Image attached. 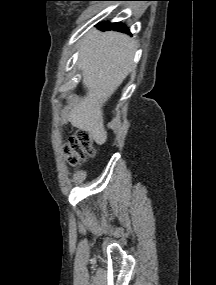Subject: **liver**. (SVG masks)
Wrapping results in <instances>:
<instances>
[{
  "instance_id": "1",
  "label": "liver",
  "mask_w": 216,
  "mask_h": 285,
  "mask_svg": "<svg viewBox=\"0 0 216 285\" xmlns=\"http://www.w3.org/2000/svg\"><path fill=\"white\" fill-rule=\"evenodd\" d=\"M78 67L86 97L67 114L74 127L90 133L98 144L107 140L102 107L132 68L134 42L118 32L93 30L81 46Z\"/></svg>"
}]
</instances>
